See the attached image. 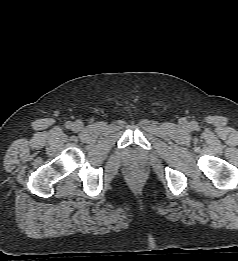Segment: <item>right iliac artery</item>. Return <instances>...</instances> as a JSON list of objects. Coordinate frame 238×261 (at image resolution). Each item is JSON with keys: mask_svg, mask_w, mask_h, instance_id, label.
I'll return each mask as SVG.
<instances>
[{"mask_svg": "<svg viewBox=\"0 0 238 261\" xmlns=\"http://www.w3.org/2000/svg\"><path fill=\"white\" fill-rule=\"evenodd\" d=\"M65 126H66V128L70 129V128H72L73 124L70 121H68V122H66Z\"/></svg>", "mask_w": 238, "mask_h": 261, "instance_id": "right-iliac-artery-1", "label": "right iliac artery"}]
</instances>
